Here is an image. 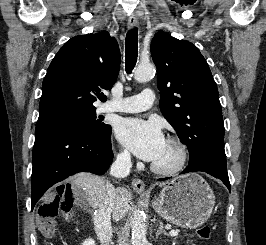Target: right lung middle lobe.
I'll list each match as a JSON object with an SVG mask.
<instances>
[{"instance_id":"right-lung-middle-lobe-1","label":"right lung middle lobe","mask_w":266,"mask_h":245,"mask_svg":"<svg viewBox=\"0 0 266 245\" xmlns=\"http://www.w3.org/2000/svg\"><path fill=\"white\" fill-rule=\"evenodd\" d=\"M95 109L96 108L70 111L52 119L38 121L35 135L63 125L73 127L90 136L102 138L109 133L111 126L101 123L100 120H96Z\"/></svg>"}]
</instances>
